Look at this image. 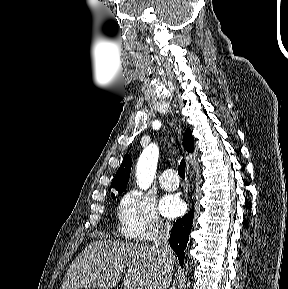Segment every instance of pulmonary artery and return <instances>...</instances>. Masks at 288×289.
I'll return each mask as SVG.
<instances>
[{"instance_id":"obj_1","label":"pulmonary artery","mask_w":288,"mask_h":289,"mask_svg":"<svg viewBox=\"0 0 288 289\" xmlns=\"http://www.w3.org/2000/svg\"><path fill=\"white\" fill-rule=\"evenodd\" d=\"M160 186L167 191L175 190L179 185V179L172 169L165 170L159 180Z\"/></svg>"}]
</instances>
